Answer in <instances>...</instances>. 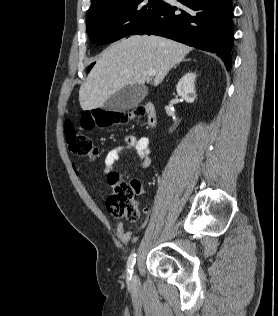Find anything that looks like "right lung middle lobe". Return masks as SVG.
<instances>
[{
    "mask_svg": "<svg viewBox=\"0 0 278 316\" xmlns=\"http://www.w3.org/2000/svg\"><path fill=\"white\" fill-rule=\"evenodd\" d=\"M163 0H109L87 11L86 31L103 45L131 35L161 6Z\"/></svg>",
    "mask_w": 278,
    "mask_h": 316,
    "instance_id": "dd1d6c3e",
    "label": "right lung middle lobe"
}]
</instances>
